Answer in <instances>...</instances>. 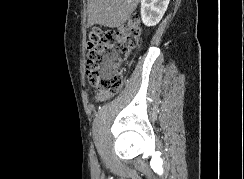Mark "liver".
Listing matches in <instances>:
<instances>
[{
    "label": "liver",
    "mask_w": 244,
    "mask_h": 179,
    "mask_svg": "<svg viewBox=\"0 0 244 179\" xmlns=\"http://www.w3.org/2000/svg\"><path fill=\"white\" fill-rule=\"evenodd\" d=\"M140 0H87L88 24L118 28L136 10Z\"/></svg>",
    "instance_id": "obj_1"
}]
</instances>
